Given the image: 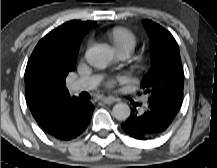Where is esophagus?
Masks as SVG:
<instances>
[{"mask_svg": "<svg viewBox=\"0 0 217 168\" xmlns=\"http://www.w3.org/2000/svg\"><path fill=\"white\" fill-rule=\"evenodd\" d=\"M103 101L105 102V103H112L114 100H113V98L112 97H104L103 98Z\"/></svg>", "mask_w": 217, "mask_h": 168, "instance_id": "1", "label": "esophagus"}]
</instances>
